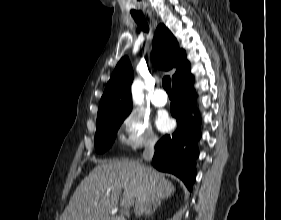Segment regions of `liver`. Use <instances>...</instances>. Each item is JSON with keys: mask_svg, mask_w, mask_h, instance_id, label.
I'll list each match as a JSON object with an SVG mask.
<instances>
[{"mask_svg": "<svg viewBox=\"0 0 281 220\" xmlns=\"http://www.w3.org/2000/svg\"><path fill=\"white\" fill-rule=\"evenodd\" d=\"M122 190L123 200H131L135 215L141 216L175 188L163 174L138 162H103L76 188L60 220H110Z\"/></svg>", "mask_w": 281, "mask_h": 220, "instance_id": "obj_1", "label": "liver"}]
</instances>
